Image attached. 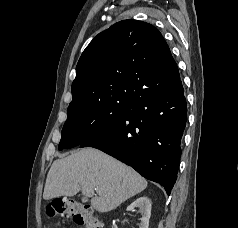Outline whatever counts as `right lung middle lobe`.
I'll return each mask as SVG.
<instances>
[{
	"label": "right lung middle lobe",
	"mask_w": 238,
	"mask_h": 228,
	"mask_svg": "<svg viewBox=\"0 0 238 228\" xmlns=\"http://www.w3.org/2000/svg\"><path fill=\"white\" fill-rule=\"evenodd\" d=\"M128 103H99L68 114L62 129L59 150L79 146L116 123Z\"/></svg>",
	"instance_id": "dd1d6c3e"
}]
</instances>
